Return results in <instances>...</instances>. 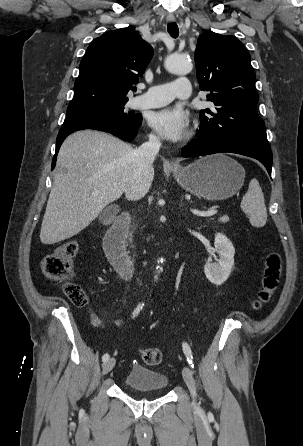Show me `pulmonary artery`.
Wrapping results in <instances>:
<instances>
[{
  "mask_svg": "<svg viewBox=\"0 0 303 446\" xmlns=\"http://www.w3.org/2000/svg\"><path fill=\"white\" fill-rule=\"evenodd\" d=\"M191 84L187 78L180 77L170 83L152 86L131 101L134 108H155L166 105L175 98L188 99Z\"/></svg>",
  "mask_w": 303,
  "mask_h": 446,
  "instance_id": "e3ab8cb5",
  "label": "pulmonary artery"
}]
</instances>
